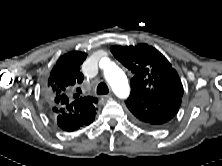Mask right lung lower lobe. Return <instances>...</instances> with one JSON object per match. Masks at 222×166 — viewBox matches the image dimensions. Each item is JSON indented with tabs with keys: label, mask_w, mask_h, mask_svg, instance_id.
<instances>
[{
	"label": "right lung lower lobe",
	"mask_w": 222,
	"mask_h": 166,
	"mask_svg": "<svg viewBox=\"0 0 222 166\" xmlns=\"http://www.w3.org/2000/svg\"><path fill=\"white\" fill-rule=\"evenodd\" d=\"M54 119L57 123V125L68 132L74 131L82 126L89 125L95 118V115L93 118L88 122V124H79V122L75 119H73L69 114L60 112V109L57 110V112H53Z\"/></svg>",
	"instance_id": "1"
}]
</instances>
